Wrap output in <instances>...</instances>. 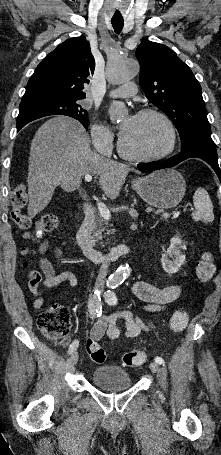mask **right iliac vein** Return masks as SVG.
I'll return each instance as SVG.
<instances>
[{"mask_svg": "<svg viewBox=\"0 0 221 455\" xmlns=\"http://www.w3.org/2000/svg\"><path fill=\"white\" fill-rule=\"evenodd\" d=\"M78 358H79L78 352H77V351H74V352L72 353V355L70 356V363H71L72 365H76L77 362H78Z\"/></svg>", "mask_w": 221, "mask_h": 455, "instance_id": "right-iliac-vein-1", "label": "right iliac vein"}]
</instances>
